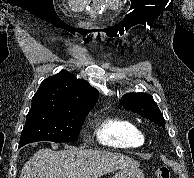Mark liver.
Returning a JSON list of instances; mask_svg holds the SVG:
<instances>
[{"mask_svg":"<svg viewBox=\"0 0 194 178\" xmlns=\"http://www.w3.org/2000/svg\"><path fill=\"white\" fill-rule=\"evenodd\" d=\"M139 165L138 161L116 152L41 149L25 163L19 178H98Z\"/></svg>","mask_w":194,"mask_h":178,"instance_id":"1","label":"liver"}]
</instances>
